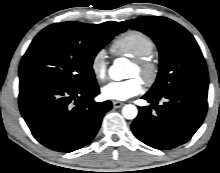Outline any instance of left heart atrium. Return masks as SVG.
Listing matches in <instances>:
<instances>
[{
	"label": "left heart atrium",
	"mask_w": 220,
	"mask_h": 173,
	"mask_svg": "<svg viewBox=\"0 0 220 173\" xmlns=\"http://www.w3.org/2000/svg\"><path fill=\"white\" fill-rule=\"evenodd\" d=\"M142 82L133 77L125 81L110 82L102 88L105 99L113 101H124L138 95L142 90Z\"/></svg>",
	"instance_id": "obj_1"
}]
</instances>
